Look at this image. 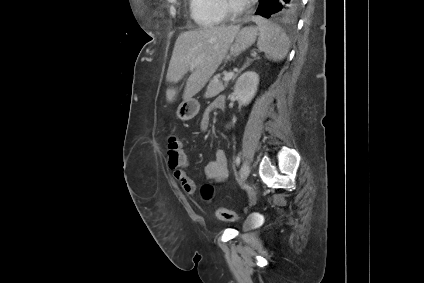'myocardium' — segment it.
Instances as JSON below:
<instances>
[{"label":"myocardium","mask_w":424,"mask_h":283,"mask_svg":"<svg viewBox=\"0 0 424 283\" xmlns=\"http://www.w3.org/2000/svg\"><path fill=\"white\" fill-rule=\"evenodd\" d=\"M222 5L225 10V13L232 18L239 17L244 14L248 6L246 4L237 6L232 3V0H222Z\"/></svg>","instance_id":"f54148a6"}]
</instances>
